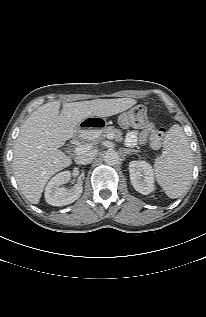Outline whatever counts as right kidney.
Listing matches in <instances>:
<instances>
[{
	"label": "right kidney",
	"instance_id": "1",
	"mask_svg": "<svg viewBox=\"0 0 206 317\" xmlns=\"http://www.w3.org/2000/svg\"><path fill=\"white\" fill-rule=\"evenodd\" d=\"M70 171L56 174L45 188V200L53 206H64L76 201L83 192L81 184H75L71 189L60 187L70 180Z\"/></svg>",
	"mask_w": 206,
	"mask_h": 317
}]
</instances>
